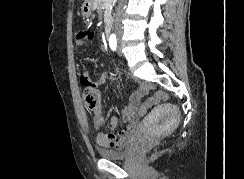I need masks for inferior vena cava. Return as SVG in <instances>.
I'll use <instances>...</instances> for the list:
<instances>
[{
  "label": "inferior vena cava",
  "instance_id": "1",
  "mask_svg": "<svg viewBox=\"0 0 244 179\" xmlns=\"http://www.w3.org/2000/svg\"><path fill=\"white\" fill-rule=\"evenodd\" d=\"M122 12L123 10H121V8H119V10H117V14H116V20H115V32H120L121 30V20H120V16H122Z\"/></svg>",
  "mask_w": 244,
  "mask_h": 179
}]
</instances>
